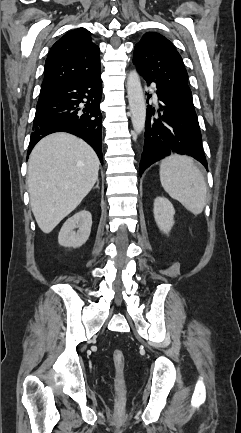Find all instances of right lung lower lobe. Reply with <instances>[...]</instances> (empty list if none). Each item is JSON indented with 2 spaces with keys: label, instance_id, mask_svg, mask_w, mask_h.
Returning a JSON list of instances; mask_svg holds the SVG:
<instances>
[{
  "label": "right lung lower lobe",
  "instance_id": "right-lung-lower-lobe-1",
  "mask_svg": "<svg viewBox=\"0 0 241 433\" xmlns=\"http://www.w3.org/2000/svg\"><path fill=\"white\" fill-rule=\"evenodd\" d=\"M101 97V71L86 78L68 81L40 95L28 155L46 135L68 132L93 147L103 163ZM84 102V108L80 107V103Z\"/></svg>",
  "mask_w": 241,
  "mask_h": 433
}]
</instances>
